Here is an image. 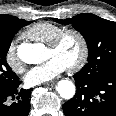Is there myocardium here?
<instances>
[{
    "instance_id": "1",
    "label": "myocardium",
    "mask_w": 116,
    "mask_h": 116,
    "mask_svg": "<svg viewBox=\"0 0 116 116\" xmlns=\"http://www.w3.org/2000/svg\"><path fill=\"white\" fill-rule=\"evenodd\" d=\"M69 35L75 36L78 39L81 47V53L79 58L73 64L68 66L70 71H77L87 63L89 58V43L83 32L75 28H64L48 44V47L53 50L58 49L61 46L64 39Z\"/></svg>"
}]
</instances>
